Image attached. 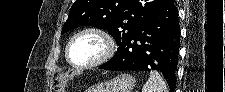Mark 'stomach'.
<instances>
[{
    "label": "stomach",
    "mask_w": 225,
    "mask_h": 92,
    "mask_svg": "<svg viewBox=\"0 0 225 92\" xmlns=\"http://www.w3.org/2000/svg\"><path fill=\"white\" fill-rule=\"evenodd\" d=\"M134 86L135 78L130 74H122L110 81L90 88L88 92H131Z\"/></svg>",
    "instance_id": "stomach-1"
}]
</instances>
